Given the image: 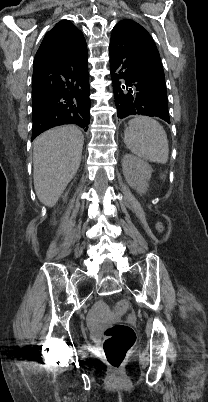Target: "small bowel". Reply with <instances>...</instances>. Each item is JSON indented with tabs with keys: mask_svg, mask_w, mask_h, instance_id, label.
I'll return each instance as SVG.
<instances>
[{
	"mask_svg": "<svg viewBox=\"0 0 208 402\" xmlns=\"http://www.w3.org/2000/svg\"><path fill=\"white\" fill-rule=\"evenodd\" d=\"M99 309L101 310L87 309L85 312L86 317L89 318L88 328L90 330H100L102 324L108 322L111 312L105 309V305L103 304L99 305Z\"/></svg>",
	"mask_w": 208,
	"mask_h": 402,
	"instance_id": "c3829d8e",
	"label": "small bowel"
}]
</instances>
